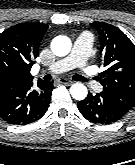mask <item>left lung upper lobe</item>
Here are the masks:
<instances>
[{
	"mask_svg": "<svg viewBox=\"0 0 135 165\" xmlns=\"http://www.w3.org/2000/svg\"><path fill=\"white\" fill-rule=\"evenodd\" d=\"M99 34L106 70L99 75L103 93L112 96L130 110L135 106V46L117 27L104 23L90 24Z\"/></svg>",
	"mask_w": 135,
	"mask_h": 165,
	"instance_id": "5c2ea615",
	"label": "left lung upper lobe"
}]
</instances>
